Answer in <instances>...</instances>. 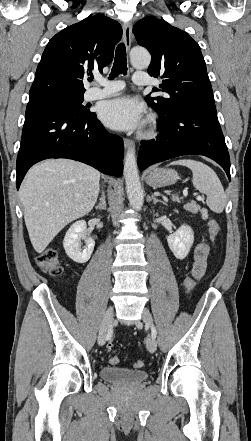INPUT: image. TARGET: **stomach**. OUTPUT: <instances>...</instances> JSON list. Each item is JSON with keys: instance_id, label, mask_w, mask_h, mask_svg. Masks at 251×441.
<instances>
[{"instance_id": "1", "label": "stomach", "mask_w": 251, "mask_h": 441, "mask_svg": "<svg viewBox=\"0 0 251 441\" xmlns=\"http://www.w3.org/2000/svg\"><path fill=\"white\" fill-rule=\"evenodd\" d=\"M178 173L173 169L154 168L147 176V183L154 188L174 184L178 180Z\"/></svg>"}]
</instances>
